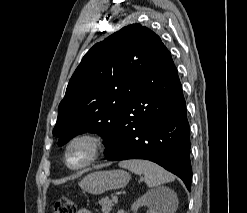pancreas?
<instances>
[{"label":"pancreas","instance_id":"1","mask_svg":"<svg viewBox=\"0 0 247 213\" xmlns=\"http://www.w3.org/2000/svg\"><path fill=\"white\" fill-rule=\"evenodd\" d=\"M100 205L102 207L103 213H109L114 206L115 203H117V200L109 199L108 197L102 198L100 200Z\"/></svg>","mask_w":247,"mask_h":213}]
</instances>
